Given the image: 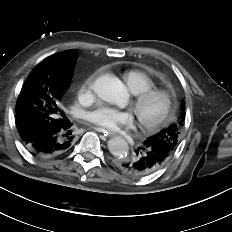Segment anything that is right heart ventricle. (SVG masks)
Instances as JSON below:
<instances>
[{
  "label": "right heart ventricle",
  "mask_w": 232,
  "mask_h": 232,
  "mask_svg": "<svg viewBox=\"0 0 232 232\" xmlns=\"http://www.w3.org/2000/svg\"><path fill=\"white\" fill-rule=\"evenodd\" d=\"M123 79L127 88L133 94H138L142 91L154 87L153 79L140 70L126 71L123 75Z\"/></svg>",
  "instance_id": "1"
}]
</instances>
